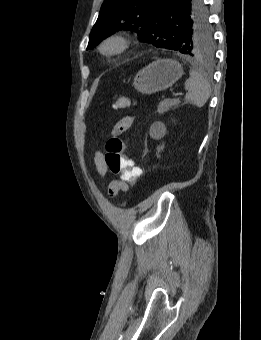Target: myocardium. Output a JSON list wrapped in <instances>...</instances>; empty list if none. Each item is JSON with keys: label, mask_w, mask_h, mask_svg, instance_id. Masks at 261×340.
<instances>
[{"label": "myocardium", "mask_w": 261, "mask_h": 340, "mask_svg": "<svg viewBox=\"0 0 261 340\" xmlns=\"http://www.w3.org/2000/svg\"><path fill=\"white\" fill-rule=\"evenodd\" d=\"M131 44L129 36L115 32L106 36L99 44L98 51L105 57H115L125 52Z\"/></svg>", "instance_id": "f54148a6"}]
</instances>
